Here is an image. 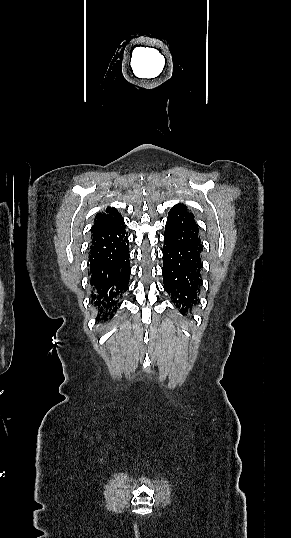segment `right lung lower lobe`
<instances>
[{"label":"right lung lower lobe","instance_id":"obj_1","mask_svg":"<svg viewBox=\"0 0 291 538\" xmlns=\"http://www.w3.org/2000/svg\"><path fill=\"white\" fill-rule=\"evenodd\" d=\"M128 234L121 221L92 234L89 254L92 299L100 315L113 317L131 274Z\"/></svg>","mask_w":291,"mask_h":538}]
</instances>
